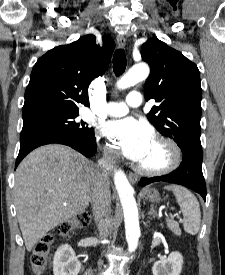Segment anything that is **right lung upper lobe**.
<instances>
[{
  "instance_id": "obj_1",
  "label": "right lung upper lobe",
  "mask_w": 225,
  "mask_h": 275,
  "mask_svg": "<svg viewBox=\"0 0 225 275\" xmlns=\"http://www.w3.org/2000/svg\"><path fill=\"white\" fill-rule=\"evenodd\" d=\"M114 48L107 35L103 36V47L95 43L94 35H86L48 51L33 67L22 115L89 106V84L106 71Z\"/></svg>"
}]
</instances>
